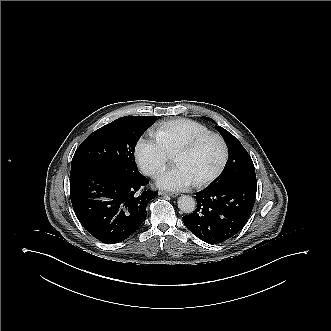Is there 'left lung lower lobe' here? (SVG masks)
I'll return each mask as SVG.
<instances>
[{"label": "left lung lower lobe", "instance_id": "1", "mask_svg": "<svg viewBox=\"0 0 331 331\" xmlns=\"http://www.w3.org/2000/svg\"><path fill=\"white\" fill-rule=\"evenodd\" d=\"M257 185L234 181L196 193L197 208L183 216L185 226L209 244L234 237L247 223L256 198Z\"/></svg>", "mask_w": 331, "mask_h": 331}]
</instances>
